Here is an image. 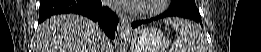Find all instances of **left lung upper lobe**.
<instances>
[{
  "instance_id": "left-lung-upper-lobe-1",
  "label": "left lung upper lobe",
  "mask_w": 261,
  "mask_h": 52,
  "mask_svg": "<svg viewBox=\"0 0 261 52\" xmlns=\"http://www.w3.org/2000/svg\"><path fill=\"white\" fill-rule=\"evenodd\" d=\"M170 9H183L200 17V13L195 5V0H172Z\"/></svg>"
}]
</instances>
